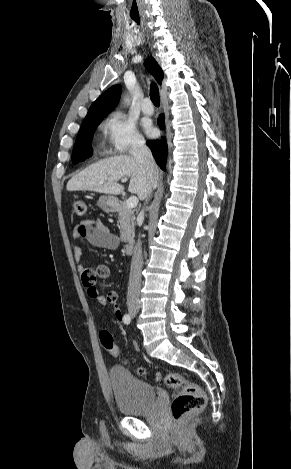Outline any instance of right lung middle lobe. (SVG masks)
Here are the masks:
<instances>
[{
    "label": "right lung middle lobe",
    "mask_w": 291,
    "mask_h": 469,
    "mask_svg": "<svg viewBox=\"0 0 291 469\" xmlns=\"http://www.w3.org/2000/svg\"><path fill=\"white\" fill-rule=\"evenodd\" d=\"M102 119H86L83 121L73 148L72 161L74 164L84 161L92 155L91 138Z\"/></svg>",
    "instance_id": "1"
}]
</instances>
